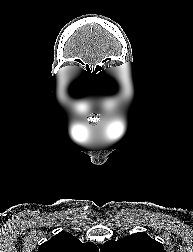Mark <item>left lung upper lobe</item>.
I'll return each instance as SVG.
<instances>
[{
    "label": "left lung upper lobe",
    "instance_id": "5c2ea615",
    "mask_svg": "<svg viewBox=\"0 0 193 252\" xmlns=\"http://www.w3.org/2000/svg\"><path fill=\"white\" fill-rule=\"evenodd\" d=\"M100 252H165L163 245L151 239L146 233L139 232L119 239L107 241Z\"/></svg>",
    "mask_w": 193,
    "mask_h": 252
}]
</instances>
